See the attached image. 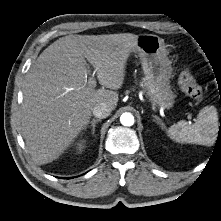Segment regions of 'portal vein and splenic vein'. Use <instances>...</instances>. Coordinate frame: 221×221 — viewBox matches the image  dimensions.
Here are the masks:
<instances>
[{
	"label": "portal vein and splenic vein",
	"mask_w": 221,
	"mask_h": 221,
	"mask_svg": "<svg viewBox=\"0 0 221 221\" xmlns=\"http://www.w3.org/2000/svg\"><path fill=\"white\" fill-rule=\"evenodd\" d=\"M94 75H95V71L93 72L92 77L90 78V81H89L91 87H95V85H96V81L93 80V76H94ZM69 90H70V89H68V91H69Z\"/></svg>",
	"instance_id": "1"
}]
</instances>
